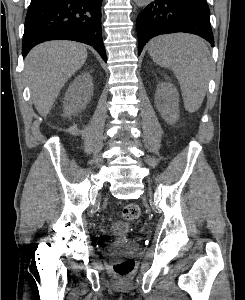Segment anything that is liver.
Segmentation results:
<instances>
[{
	"label": "liver",
	"instance_id": "6515ba94",
	"mask_svg": "<svg viewBox=\"0 0 245 300\" xmlns=\"http://www.w3.org/2000/svg\"><path fill=\"white\" fill-rule=\"evenodd\" d=\"M86 58V47L72 41L45 42L30 51L25 59L24 76L41 116L49 113L64 84Z\"/></svg>",
	"mask_w": 245,
	"mask_h": 300
}]
</instances>
